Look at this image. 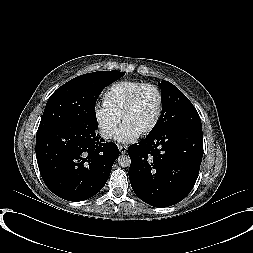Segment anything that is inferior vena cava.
Wrapping results in <instances>:
<instances>
[{"instance_id":"1","label":"inferior vena cava","mask_w":253,"mask_h":253,"mask_svg":"<svg viewBox=\"0 0 253 253\" xmlns=\"http://www.w3.org/2000/svg\"><path fill=\"white\" fill-rule=\"evenodd\" d=\"M115 134V130L113 128H101L100 135L104 139H111Z\"/></svg>"}]
</instances>
